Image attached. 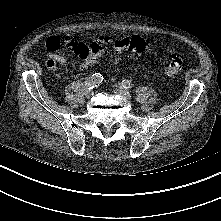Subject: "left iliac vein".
<instances>
[{"label": "left iliac vein", "mask_w": 221, "mask_h": 221, "mask_svg": "<svg viewBox=\"0 0 221 221\" xmlns=\"http://www.w3.org/2000/svg\"><path fill=\"white\" fill-rule=\"evenodd\" d=\"M115 93L125 99L131 98L130 92L126 88H124L123 86H120V85L115 88Z\"/></svg>", "instance_id": "obj_1"}]
</instances>
